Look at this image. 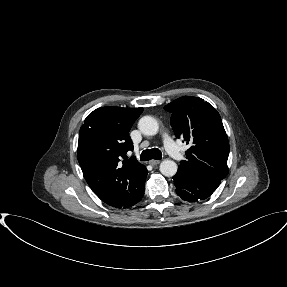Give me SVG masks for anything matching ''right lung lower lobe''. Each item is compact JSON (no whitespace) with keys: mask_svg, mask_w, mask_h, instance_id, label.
Returning <instances> with one entry per match:
<instances>
[{"mask_svg":"<svg viewBox=\"0 0 287 287\" xmlns=\"http://www.w3.org/2000/svg\"><path fill=\"white\" fill-rule=\"evenodd\" d=\"M147 173H148V171L145 168L144 177L141 180V182H140L139 186L137 187L136 191L132 194V196L130 197V199L127 202L123 203L120 206H117V208H128V207H131V206L135 205L137 202H139L142 199V197L144 195L145 179H146Z\"/></svg>","mask_w":287,"mask_h":287,"instance_id":"98d812e1","label":"right lung lower lobe"}]
</instances>
